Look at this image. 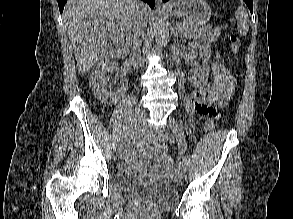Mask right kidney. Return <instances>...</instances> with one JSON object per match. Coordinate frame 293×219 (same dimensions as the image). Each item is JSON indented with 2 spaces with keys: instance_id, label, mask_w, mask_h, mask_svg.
Wrapping results in <instances>:
<instances>
[{
  "instance_id": "ca27d5eb",
  "label": "right kidney",
  "mask_w": 293,
  "mask_h": 219,
  "mask_svg": "<svg viewBox=\"0 0 293 219\" xmlns=\"http://www.w3.org/2000/svg\"><path fill=\"white\" fill-rule=\"evenodd\" d=\"M108 71L119 73L118 63L112 59L101 61L93 68L89 79L92 93L104 104L113 103L117 94L127 86L126 80L122 79V85L117 90L114 89L106 76Z\"/></svg>"
}]
</instances>
